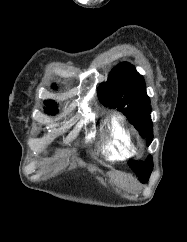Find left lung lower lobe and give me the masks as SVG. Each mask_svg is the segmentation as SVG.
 <instances>
[{
    "label": "left lung lower lobe",
    "instance_id": "1",
    "mask_svg": "<svg viewBox=\"0 0 187 242\" xmlns=\"http://www.w3.org/2000/svg\"><path fill=\"white\" fill-rule=\"evenodd\" d=\"M141 182L145 183L147 180H140Z\"/></svg>",
    "mask_w": 187,
    "mask_h": 242
}]
</instances>
